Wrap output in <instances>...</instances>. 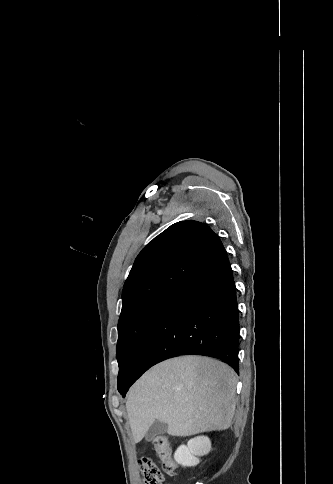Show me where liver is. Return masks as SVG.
<instances>
[{"mask_svg": "<svg viewBox=\"0 0 333 484\" xmlns=\"http://www.w3.org/2000/svg\"><path fill=\"white\" fill-rule=\"evenodd\" d=\"M236 376L227 364L183 356L161 362L130 388L126 410L134 442L155 421L172 436H191L230 427L235 413Z\"/></svg>", "mask_w": 333, "mask_h": 484, "instance_id": "obj_1", "label": "liver"}]
</instances>
